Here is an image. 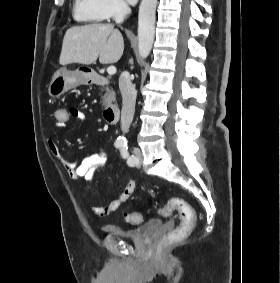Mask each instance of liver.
<instances>
[{"label":"liver","instance_id":"1","mask_svg":"<svg viewBox=\"0 0 280 283\" xmlns=\"http://www.w3.org/2000/svg\"><path fill=\"white\" fill-rule=\"evenodd\" d=\"M123 51V36L114 25L94 23L77 26L65 33L59 63L90 65L98 57L102 64L116 63Z\"/></svg>","mask_w":280,"mask_h":283}]
</instances>
